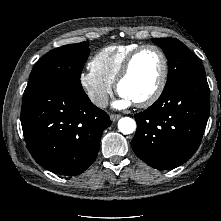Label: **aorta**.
<instances>
[{
	"label": "aorta",
	"instance_id": "1",
	"mask_svg": "<svg viewBox=\"0 0 221 221\" xmlns=\"http://www.w3.org/2000/svg\"><path fill=\"white\" fill-rule=\"evenodd\" d=\"M118 129L123 134H131L136 130V122L130 117H123L118 121Z\"/></svg>",
	"mask_w": 221,
	"mask_h": 221
}]
</instances>
